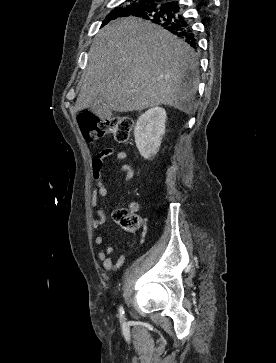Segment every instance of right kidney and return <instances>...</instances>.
Instances as JSON below:
<instances>
[{"label": "right kidney", "instance_id": "right-kidney-1", "mask_svg": "<svg viewBox=\"0 0 276 363\" xmlns=\"http://www.w3.org/2000/svg\"><path fill=\"white\" fill-rule=\"evenodd\" d=\"M166 111L153 107L143 113L134 128L136 147L144 159L155 156L165 133Z\"/></svg>", "mask_w": 276, "mask_h": 363}]
</instances>
